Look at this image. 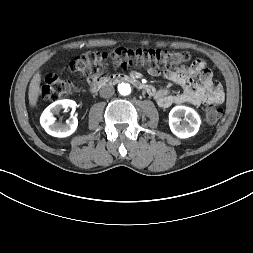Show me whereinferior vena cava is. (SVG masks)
Wrapping results in <instances>:
<instances>
[{"mask_svg": "<svg viewBox=\"0 0 253 253\" xmlns=\"http://www.w3.org/2000/svg\"><path fill=\"white\" fill-rule=\"evenodd\" d=\"M114 92H115L114 87L107 85L100 89V96L102 98H109L114 94Z\"/></svg>", "mask_w": 253, "mask_h": 253, "instance_id": "inferior-vena-cava-1", "label": "inferior vena cava"}]
</instances>
